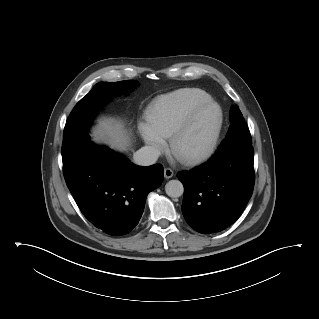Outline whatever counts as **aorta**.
<instances>
[{"mask_svg": "<svg viewBox=\"0 0 319 319\" xmlns=\"http://www.w3.org/2000/svg\"><path fill=\"white\" fill-rule=\"evenodd\" d=\"M166 194L169 197H180L184 192L183 184L179 180H170L165 185Z\"/></svg>", "mask_w": 319, "mask_h": 319, "instance_id": "1", "label": "aorta"}]
</instances>
